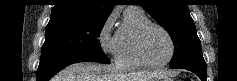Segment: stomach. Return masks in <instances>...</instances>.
I'll return each instance as SVG.
<instances>
[{
  "label": "stomach",
  "instance_id": "1",
  "mask_svg": "<svg viewBox=\"0 0 237 81\" xmlns=\"http://www.w3.org/2000/svg\"><path fill=\"white\" fill-rule=\"evenodd\" d=\"M151 81H172V79L168 75H161V76L156 77L155 79H153Z\"/></svg>",
  "mask_w": 237,
  "mask_h": 81
}]
</instances>
